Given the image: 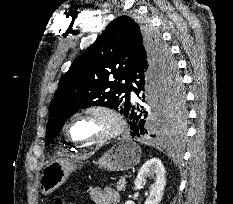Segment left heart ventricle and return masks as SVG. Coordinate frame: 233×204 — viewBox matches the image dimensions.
Returning a JSON list of instances; mask_svg holds the SVG:
<instances>
[{
  "label": "left heart ventricle",
  "instance_id": "obj_1",
  "mask_svg": "<svg viewBox=\"0 0 233 204\" xmlns=\"http://www.w3.org/2000/svg\"><path fill=\"white\" fill-rule=\"evenodd\" d=\"M111 126L106 117L91 114L75 119L69 127V133L75 140H94L109 132Z\"/></svg>",
  "mask_w": 233,
  "mask_h": 204
}]
</instances>
